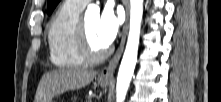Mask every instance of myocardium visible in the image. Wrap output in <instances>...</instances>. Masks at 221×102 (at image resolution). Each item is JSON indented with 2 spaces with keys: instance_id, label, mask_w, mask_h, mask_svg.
<instances>
[{
  "instance_id": "myocardium-1",
  "label": "myocardium",
  "mask_w": 221,
  "mask_h": 102,
  "mask_svg": "<svg viewBox=\"0 0 221 102\" xmlns=\"http://www.w3.org/2000/svg\"><path fill=\"white\" fill-rule=\"evenodd\" d=\"M77 45L81 57L84 59V61L89 63H98L104 60L109 54L108 47H104L103 49L100 50H94L91 47L83 19H80L78 25Z\"/></svg>"
}]
</instances>
